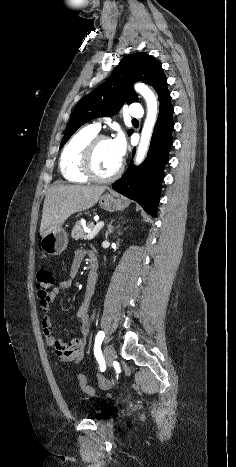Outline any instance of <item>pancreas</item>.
<instances>
[{
    "mask_svg": "<svg viewBox=\"0 0 236 467\" xmlns=\"http://www.w3.org/2000/svg\"><path fill=\"white\" fill-rule=\"evenodd\" d=\"M90 228L93 227V223H89ZM72 238L75 240H80V239H87V234L84 232L83 227L80 222H77L75 226L72 229Z\"/></svg>",
    "mask_w": 236,
    "mask_h": 467,
    "instance_id": "obj_1",
    "label": "pancreas"
}]
</instances>
